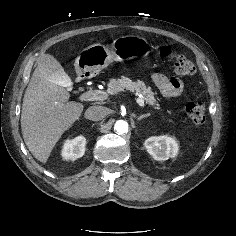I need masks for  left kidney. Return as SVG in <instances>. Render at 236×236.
I'll return each mask as SVG.
<instances>
[{
	"instance_id": "5707ae66",
	"label": "left kidney",
	"mask_w": 236,
	"mask_h": 236,
	"mask_svg": "<svg viewBox=\"0 0 236 236\" xmlns=\"http://www.w3.org/2000/svg\"><path fill=\"white\" fill-rule=\"evenodd\" d=\"M144 144L148 153L158 161L174 158L179 150L177 141L166 135L150 137L145 140Z\"/></svg>"
}]
</instances>
